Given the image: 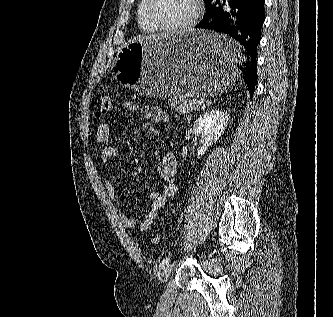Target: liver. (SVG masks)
<instances>
[{
    "instance_id": "liver-1",
    "label": "liver",
    "mask_w": 333,
    "mask_h": 317,
    "mask_svg": "<svg viewBox=\"0 0 333 317\" xmlns=\"http://www.w3.org/2000/svg\"><path fill=\"white\" fill-rule=\"evenodd\" d=\"M162 35H167V34H160V35H155V36H162ZM142 38H146V37H142Z\"/></svg>"
}]
</instances>
